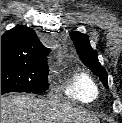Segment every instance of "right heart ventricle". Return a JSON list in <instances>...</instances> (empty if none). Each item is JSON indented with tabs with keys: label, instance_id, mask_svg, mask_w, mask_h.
Masks as SVG:
<instances>
[{
	"label": "right heart ventricle",
	"instance_id": "e07e8e85",
	"mask_svg": "<svg viewBox=\"0 0 122 123\" xmlns=\"http://www.w3.org/2000/svg\"><path fill=\"white\" fill-rule=\"evenodd\" d=\"M61 91L67 98L83 104L94 102L99 95L94 79L82 70L72 72L61 85Z\"/></svg>",
	"mask_w": 122,
	"mask_h": 123
}]
</instances>
